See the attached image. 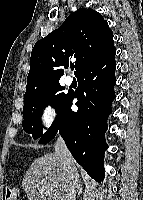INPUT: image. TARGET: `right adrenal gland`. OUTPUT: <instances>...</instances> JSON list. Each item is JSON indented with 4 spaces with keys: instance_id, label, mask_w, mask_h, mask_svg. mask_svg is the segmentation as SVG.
I'll list each match as a JSON object with an SVG mask.
<instances>
[{
    "instance_id": "right-adrenal-gland-1",
    "label": "right adrenal gland",
    "mask_w": 143,
    "mask_h": 200,
    "mask_svg": "<svg viewBox=\"0 0 143 200\" xmlns=\"http://www.w3.org/2000/svg\"><path fill=\"white\" fill-rule=\"evenodd\" d=\"M82 190H83V188H82V182L80 181L79 187H78V197L81 195Z\"/></svg>"
}]
</instances>
